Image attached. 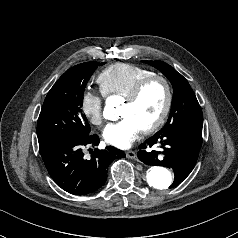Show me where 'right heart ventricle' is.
Segmentation results:
<instances>
[{"instance_id": "right-heart-ventricle-1", "label": "right heart ventricle", "mask_w": 238, "mask_h": 238, "mask_svg": "<svg viewBox=\"0 0 238 238\" xmlns=\"http://www.w3.org/2000/svg\"><path fill=\"white\" fill-rule=\"evenodd\" d=\"M152 75L155 74L149 69L116 63L105 68L96 80L104 95L126 98L141 80Z\"/></svg>"}]
</instances>
